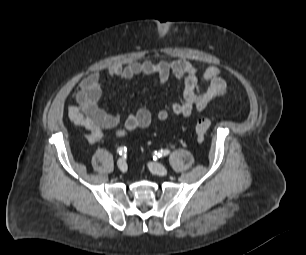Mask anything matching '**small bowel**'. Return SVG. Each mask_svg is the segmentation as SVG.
Wrapping results in <instances>:
<instances>
[{
    "label": "small bowel",
    "mask_w": 306,
    "mask_h": 255,
    "mask_svg": "<svg viewBox=\"0 0 306 255\" xmlns=\"http://www.w3.org/2000/svg\"><path fill=\"white\" fill-rule=\"evenodd\" d=\"M110 77L129 80L137 75L156 76L160 84H165L171 77L183 82L182 99L158 111L159 121L167 120L171 115L189 117L193 110L203 111L212 102L224 96L228 91L226 80L217 66H209L202 73L206 83L202 89L196 68L187 60L142 61L129 64H114L108 69ZM103 75L94 72L84 78L75 95V100L68 107L70 120L87 131L86 140L96 143L106 131H112L118 139L127 137L137 129L148 128L152 123V113L146 107L129 111L122 127H118L120 116L104 111L100 106Z\"/></svg>",
    "instance_id": "1"
}]
</instances>
